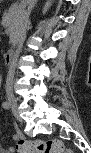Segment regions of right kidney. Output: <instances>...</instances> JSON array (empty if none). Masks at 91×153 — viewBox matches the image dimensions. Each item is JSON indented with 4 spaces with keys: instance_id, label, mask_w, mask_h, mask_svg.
Returning a JSON list of instances; mask_svg holds the SVG:
<instances>
[{
    "instance_id": "1",
    "label": "right kidney",
    "mask_w": 91,
    "mask_h": 153,
    "mask_svg": "<svg viewBox=\"0 0 91 153\" xmlns=\"http://www.w3.org/2000/svg\"><path fill=\"white\" fill-rule=\"evenodd\" d=\"M48 8H49V3H47V4L45 5V7H44V9H43V14L46 13V11H47Z\"/></svg>"
}]
</instances>
